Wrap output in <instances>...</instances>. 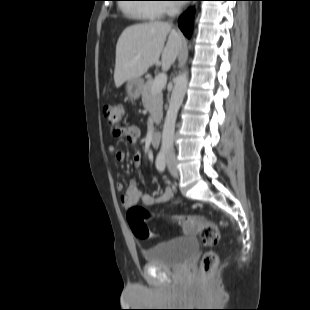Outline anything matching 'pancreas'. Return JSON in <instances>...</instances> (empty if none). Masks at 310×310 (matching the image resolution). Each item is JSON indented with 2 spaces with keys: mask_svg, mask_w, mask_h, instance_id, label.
Returning <instances> with one entry per match:
<instances>
[{
  "mask_svg": "<svg viewBox=\"0 0 310 310\" xmlns=\"http://www.w3.org/2000/svg\"><path fill=\"white\" fill-rule=\"evenodd\" d=\"M152 85L153 80L148 79L143 86L141 91L142 103L144 108L150 112L152 121L159 124L162 118L163 94L161 91L153 93Z\"/></svg>",
  "mask_w": 310,
  "mask_h": 310,
  "instance_id": "pancreas-1",
  "label": "pancreas"
}]
</instances>
